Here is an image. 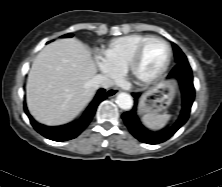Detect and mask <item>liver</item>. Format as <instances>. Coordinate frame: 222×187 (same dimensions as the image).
<instances>
[{"label":"liver","mask_w":222,"mask_h":187,"mask_svg":"<svg viewBox=\"0 0 222 187\" xmlns=\"http://www.w3.org/2000/svg\"><path fill=\"white\" fill-rule=\"evenodd\" d=\"M97 68L90 50L79 40L59 39L45 46L28 74L26 95L30 113L46 125L76 118L94 96Z\"/></svg>","instance_id":"liver-1"}]
</instances>
